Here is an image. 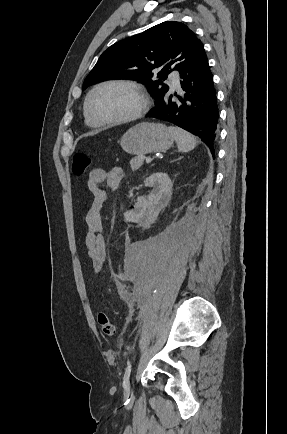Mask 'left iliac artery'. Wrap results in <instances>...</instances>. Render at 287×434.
I'll list each match as a JSON object with an SVG mask.
<instances>
[{"label": "left iliac artery", "mask_w": 287, "mask_h": 434, "mask_svg": "<svg viewBox=\"0 0 287 434\" xmlns=\"http://www.w3.org/2000/svg\"><path fill=\"white\" fill-rule=\"evenodd\" d=\"M131 369H132V365L128 364V366H127V368L125 370V373H124V380H123V387H124V389L128 385L130 374H131Z\"/></svg>", "instance_id": "1"}]
</instances>
